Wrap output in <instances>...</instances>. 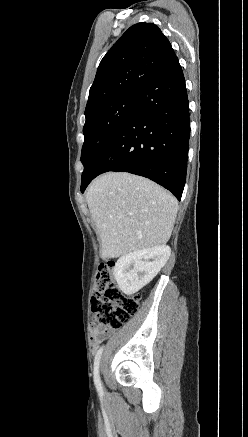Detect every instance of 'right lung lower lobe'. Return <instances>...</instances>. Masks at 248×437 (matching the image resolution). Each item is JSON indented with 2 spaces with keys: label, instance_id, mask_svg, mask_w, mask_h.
<instances>
[{
  "label": "right lung lower lobe",
  "instance_id": "98d812e1",
  "mask_svg": "<svg viewBox=\"0 0 248 437\" xmlns=\"http://www.w3.org/2000/svg\"><path fill=\"white\" fill-rule=\"evenodd\" d=\"M190 137L189 102L178 58L139 93L131 112L82 178L81 192L99 174L147 177L181 199Z\"/></svg>",
  "mask_w": 248,
  "mask_h": 437
}]
</instances>
